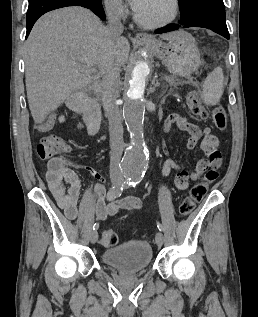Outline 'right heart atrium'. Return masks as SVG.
Returning <instances> with one entry per match:
<instances>
[{
    "instance_id": "right-heart-atrium-1",
    "label": "right heart atrium",
    "mask_w": 258,
    "mask_h": 317,
    "mask_svg": "<svg viewBox=\"0 0 258 317\" xmlns=\"http://www.w3.org/2000/svg\"><path fill=\"white\" fill-rule=\"evenodd\" d=\"M104 8L106 13L112 17L122 18L126 14V7L120 0H105Z\"/></svg>"
}]
</instances>
